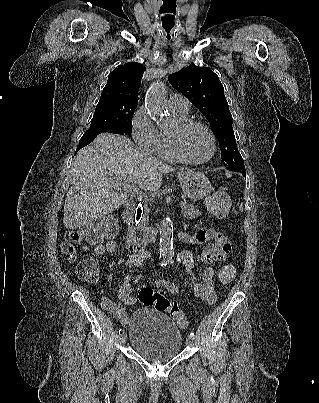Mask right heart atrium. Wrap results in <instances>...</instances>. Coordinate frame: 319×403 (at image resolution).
<instances>
[{"mask_svg":"<svg viewBox=\"0 0 319 403\" xmlns=\"http://www.w3.org/2000/svg\"><path fill=\"white\" fill-rule=\"evenodd\" d=\"M131 133L141 149L149 154H158L160 133L144 106L139 107L131 118Z\"/></svg>","mask_w":319,"mask_h":403,"instance_id":"obj_1","label":"right heart atrium"}]
</instances>
